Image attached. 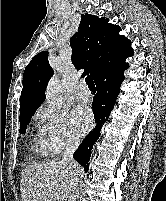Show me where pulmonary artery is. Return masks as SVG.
Wrapping results in <instances>:
<instances>
[{
	"label": "pulmonary artery",
	"instance_id": "pulmonary-artery-1",
	"mask_svg": "<svg viewBox=\"0 0 166 201\" xmlns=\"http://www.w3.org/2000/svg\"><path fill=\"white\" fill-rule=\"evenodd\" d=\"M75 97L78 101L87 102L91 100L92 95L86 84L82 83L77 88Z\"/></svg>",
	"mask_w": 166,
	"mask_h": 201
}]
</instances>
